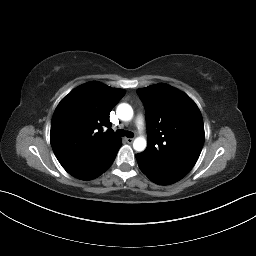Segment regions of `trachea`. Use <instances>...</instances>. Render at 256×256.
<instances>
[{"label":"trachea","instance_id":"3493384b","mask_svg":"<svg viewBox=\"0 0 256 256\" xmlns=\"http://www.w3.org/2000/svg\"><path fill=\"white\" fill-rule=\"evenodd\" d=\"M117 135L119 136H126L128 138H132L134 136V134L131 131H125L123 129H119L117 130Z\"/></svg>","mask_w":256,"mask_h":256}]
</instances>
